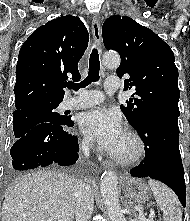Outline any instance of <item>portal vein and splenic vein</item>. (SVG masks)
<instances>
[{
  "label": "portal vein and splenic vein",
  "instance_id": "18ae733b",
  "mask_svg": "<svg viewBox=\"0 0 190 221\" xmlns=\"http://www.w3.org/2000/svg\"><path fill=\"white\" fill-rule=\"evenodd\" d=\"M134 209L140 213V219H141V221H153L152 219L147 220V219L144 218L143 209H142L141 207L135 206Z\"/></svg>",
  "mask_w": 190,
  "mask_h": 221
}]
</instances>
